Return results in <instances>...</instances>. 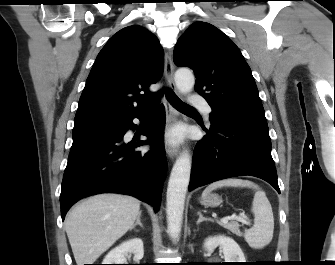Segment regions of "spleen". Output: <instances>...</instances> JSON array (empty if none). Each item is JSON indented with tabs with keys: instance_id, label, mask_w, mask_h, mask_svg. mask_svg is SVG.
<instances>
[{
	"instance_id": "spleen-1",
	"label": "spleen",
	"mask_w": 335,
	"mask_h": 265,
	"mask_svg": "<svg viewBox=\"0 0 335 265\" xmlns=\"http://www.w3.org/2000/svg\"><path fill=\"white\" fill-rule=\"evenodd\" d=\"M224 186L248 187L256 190L252 202V212L254 213V225L245 230L244 238L251 248L262 249L268 245L273 238L274 217L271 204L266 194L258 185L249 180L230 178L214 182L207 186L202 193V197L207 196L211 191Z\"/></svg>"
}]
</instances>
